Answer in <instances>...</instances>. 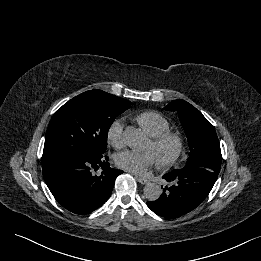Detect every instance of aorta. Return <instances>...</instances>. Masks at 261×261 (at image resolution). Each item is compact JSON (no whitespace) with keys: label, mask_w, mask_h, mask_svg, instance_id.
<instances>
[{"label":"aorta","mask_w":261,"mask_h":261,"mask_svg":"<svg viewBox=\"0 0 261 261\" xmlns=\"http://www.w3.org/2000/svg\"><path fill=\"white\" fill-rule=\"evenodd\" d=\"M124 138L126 144L132 150H141L145 146L147 141V138L143 131L134 127H128L125 130ZM144 195L149 201H155L161 195V188L155 183H148L144 187Z\"/></svg>","instance_id":"1"}]
</instances>
